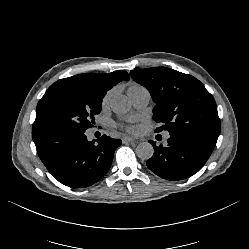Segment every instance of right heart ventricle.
Instances as JSON below:
<instances>
[{"mask_svg":"<svg viewBox=\"0 0 249 249\" xmlns=\"http://www.w3.org/2000/svg\"><path fill=\"white\" fill-rule=\"evenodd\" d=\"M142 90H146V88L137 82L131 81L127 84V91L129 96Z\"/></svg>","mask_w":249,"mask_h":249,"instance_id":"right-heart-ventricle-1","label":"right heart ventricle"}]
</instances>
